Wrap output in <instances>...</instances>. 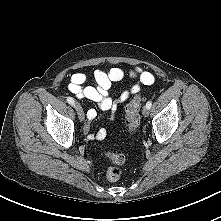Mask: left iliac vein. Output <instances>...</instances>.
Returning <instances> with one entry per match:
<instances>
[{"mask_svg": "<svg viewBox=\"0 0 221 221\" xmlns=\"http://www.w3.org/2000/svg\"><path fill=\"white\" fill-rule=\"evenodd\" d=\"M142 113L145 117H147L149 115V109L147 107H144Z\"/></svg>", "mask_w": 221, "mask_h": 221, "instance_id": "obj_1", "label": "left iliac vein"}]
</instances>
